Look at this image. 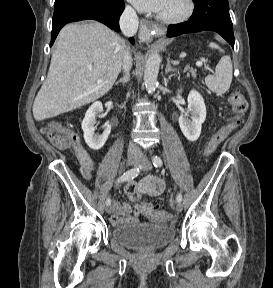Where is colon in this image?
<instances>
[{
    "instance_id": "obj_1",
    "label": "colon",
    "mask_w": 273,
    "mask_h": 288,
    "mask_svg": "<svg viewBox=\"0 0 273 288\" xmlns=\"http://www.w3.org/2000/svg\"><path fill=\"white\" fill-rule=\"evenodd\" d=\"M228 101L232 107L233 116L210 137L205 149L207 155L212 154L229 134L239 126L242 117L247 112L248 103L241 92H231ZM43 133L54 146L60 149H67L76 143L75 134L57 122H51L45 126ZM140 208L147 215L151 214L154 209L153 206L147 202H142Z\"/></svg>"
}]
</instances>
